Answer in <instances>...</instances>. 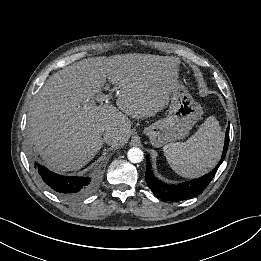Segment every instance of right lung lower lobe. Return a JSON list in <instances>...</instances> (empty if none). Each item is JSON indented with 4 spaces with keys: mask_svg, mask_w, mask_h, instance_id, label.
I'll list each match as a JSON object with an SVG mask.
<instances>
[{
    "mask_svg": "<svg viewBox=\"0 0 261 261\" xmlns=\"http://www.w3.org/2000/svg\"><path fill=\"white\" fill-rule=\"evenodd\" d=\"M35 168L45 184L53 191L68 199H78L90 194L95 181L90 177H73L58 175L39 163H34Z\"/></svg>",
    "mask_w": 261,
    "mask_h": 261,
    "instance_id": "obj_1",
    "label": "right lung lower lobe"
}]
</instances>
